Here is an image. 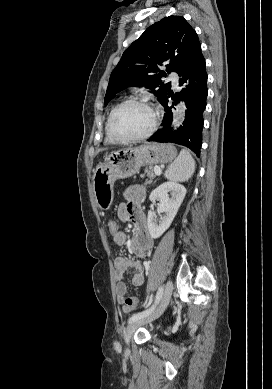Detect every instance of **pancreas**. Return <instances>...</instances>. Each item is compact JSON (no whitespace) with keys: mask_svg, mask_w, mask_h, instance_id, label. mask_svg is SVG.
I'll return each mask as SVG.
<instances>
[{"mask_svg":"<svg viewBox=\"0 0 272 389\" xmlns=\"http://www.w3.org/2000/svg\"><path fill=\"white\" fill-rule=\"evenodd\" d=\"M145 173L147 174V176L149 177V183L152 182V179L155 177L154 173H153V170H152V167H149V168H146L145 169Z\"/></svg>","mask_w":272,"mask_h":389,"instance_id":"pancreas-1","label":"pancreas"}]
</instances>
